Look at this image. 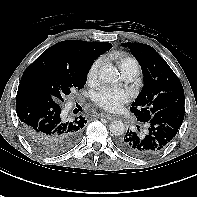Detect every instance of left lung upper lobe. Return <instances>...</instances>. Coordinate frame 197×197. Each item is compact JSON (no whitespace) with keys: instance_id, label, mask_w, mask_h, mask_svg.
I'll return each instance as SVG.
<instances>
[{"instance_id":"5c2ea615","label":"left lung upper lobe","mask_w":197,"mask_h":197,"mask_svg":"<svg viewBox=\"0 0 197 197\" xmlns=\"http://www.w3.org/2000/svg\"><path fill=\"white\" fill-rule=\"evenodd\" d=\"M139 62L144 86L130 110L146 123L159 110L184 106V90L179 78L154 48L142 43H124Z\"/></svg>"}]
</instances>
